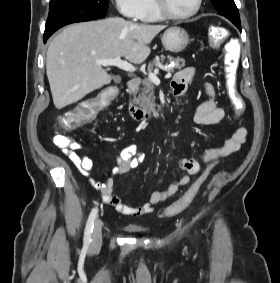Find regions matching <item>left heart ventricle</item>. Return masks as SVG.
Listing matches in <instances>:
<instances>
[{
	"instance_id": "obj_1",
	"label": "left heart ventricle",
	"mask_w": 280,
	"mask_h": 283,
	"mask_svg": "<svg viewBox=\"0 0 280 283\" xmlns=\"http://www.w3.org/2000/svg\"><path fill=\"white\" fill-rule=\"evenodd\" d=\"M166 7L174 14H186L196 4V0H164Z\"/></svg>"
}]
</instances>
